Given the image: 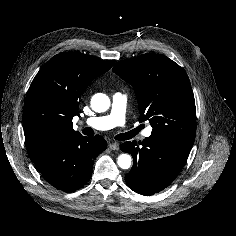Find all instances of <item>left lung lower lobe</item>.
<instances>
[{
  "instance_id": "1",
  "label": "left lung lower lobe",
  "mask_w": 236,
  "mask_h": 236,
  "mask_svg": "<svg viewBox=\"0 0 236 236\" xmlns=\"http://www.w3.org/2000/svg\"><path fill=\"white\" fill-rule=\"evenodd\" d=\"M193 143L161 136H150L142 142H125L121 150L134 159L125 176L129 188L141 195H153L168 187L184 166Z\"/></svg>"
}]
</instances>
